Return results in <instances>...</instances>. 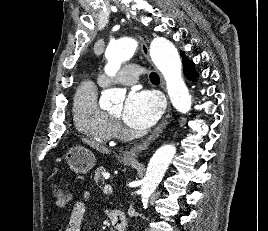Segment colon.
Here are the masks:
<instances>
[{"label":"colon","mask_w":268,"mask_h":231,"mask_svg":"<svg viewBox=\"0 0 268 231\" xmlns=\"http://www.w3.org/2000/svg\"><path fill=\"white\" fill-rule=\"evenodd\" d=\"M53 200L55 205L59 209H65L69 206L70 199L68 195L61 189H55L53 191Z\"/></svg>","instance_id":"1"}]
</instances>
